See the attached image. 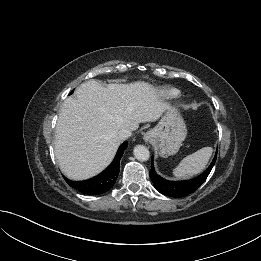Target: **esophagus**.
<instances>
[{"instance_id":"1","label":"esophagus","mask_w":261,"mask_h":261,"mask_svg":"<svg viewBox=\"0 0 261 261\" xmlns=\"http://www.w3.org/2000/svg\"><path fill=\"white\" fill-rule=\"evenodd\" d=\"M152 132L151 131H149V132H147L145 135H144V140L145 141H149L151 138H152Z\"/></svg>"}]
</instances>
